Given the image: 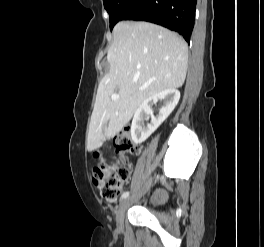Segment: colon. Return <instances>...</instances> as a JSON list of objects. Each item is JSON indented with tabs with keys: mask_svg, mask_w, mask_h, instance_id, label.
<instances>
[{
	"mask_svg": "<svg viewBox=\"0 0 264 247\" xmlns=\"http://www.w3.org/2000/svg\"><path fill=\"white\" fill-rule=\"evenodd\" d=\"M112 145L114 153L110 160L98 156L99 160L92 168V180L101 197L107 202L115 203L130 178L131 165L128 155H136L139 148L126 129L115 136Z\"/></svg>",
	"mask_w": 264,
	"mask_h": 247,
	"instance_id": "colon-1",
	"label": "colon"
}]
</instances>
